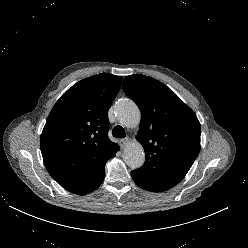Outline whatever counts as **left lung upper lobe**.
I'll list each match as a JSON object with an SVG mask.
<instances>
[{
  "instance_id": "5c2ea615",
  "label": "left lung upper lobe",
  "mask_w": 248,
  "mask_h": 248,
  "mask_svg": "<svg viewBox=\"0 0 248 248\" xmlns=\"http://www.w3.org/2000/svg\"><path fill=\"white\" fill-rule=\"evenodd\" d=\"M123 90L142 114L136 139L145 150V163L134 170L138 185L166 191L185 177L199 154V120L172 90L151 77L126 76Z\"/></svg>"
}]
</instances>
